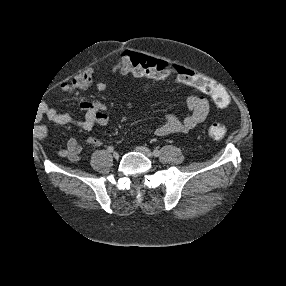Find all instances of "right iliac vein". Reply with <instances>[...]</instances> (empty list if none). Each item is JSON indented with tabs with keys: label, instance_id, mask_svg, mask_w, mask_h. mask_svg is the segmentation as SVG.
Here are the masks:
<instances>
[{
	"label": "right iliac vein",
	"instance_id": "obj_1",
	"mask_svg": "<svg viewBox=\"0 0 286 286\" xmlns=\"http://www.w3.org/2000/svg\"><path fill=\"white\" fill-rule=\"evenodd\" d=\"M113 157H114L115 159H118V158H119V153H118V152H113Z\"/></svg>",
	"mask_w": 286,
	"mask_h": 286
}]
</instances>
